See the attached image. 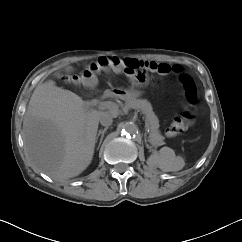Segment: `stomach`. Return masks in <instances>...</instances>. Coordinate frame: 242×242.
<instances>
[{
  "label": "stomach",
  "instance_id": "stomach-1",
  "mask_svg": "<svg viewBox=\"0 0 242 242\" xmlns=\"http://www.w3.org/2000/svg\"><path fill=\"white\" fill-rule=\"evenodd\" d=\"M141 91L130 88V89H124L119 92L118 96L124 100H128L131 98H137L141 96Z\"/></svg>",
  "mask_w": 242,
  "mask_h": 242
}]
</instances>
